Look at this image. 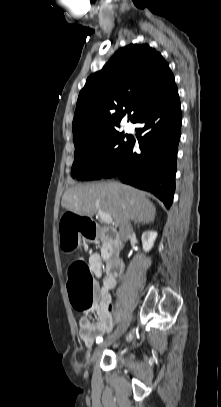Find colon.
<instances>
[{
	"label": "colon",
	"instance_id": "colon-1",
	"mask_svg": "<svg viewBox=\"0 0 221 407\" xmlns=\"http://www.w3.org/2000/svg\"><path fill=\"white\" fill-rule=\"evenodd\" d=\"M66 216H60V234L62 247L70 251L76 247L77 239H104L106 233L102 222L94 216H78V212L67 210ZM68 294L73 307L78 311L91 308L94 297V281L89 266L75 261L68 271Z\"/></svg>",
	"mask_w": 221,
	"mask_h": 407
}]
</instances>
